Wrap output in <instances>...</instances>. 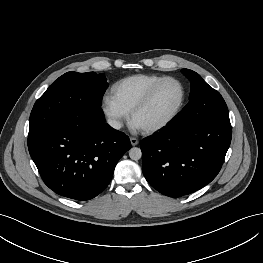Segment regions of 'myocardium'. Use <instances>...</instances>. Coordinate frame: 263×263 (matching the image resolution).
<instances>
[{
  "mask_svg": "<svg viewBox=\"0 0 263 263\" xmlns=\"http://www.w3.org/2000/svg\"><path fill=\"white\" fill-rule=\"evenodd\" d=\"M166 81H175L177 82L181 89H182V97H181V101L178 105V107L176 108V110L166 119H164L163 121L156 123L154 125H151L149 127H145V128H140L141 131L145 134H153L156 133L162 129H164L165 127H167L168 125H170L182 112L185 104H186V100H187V88L185 86V84L177 77L174 76H166L163 77L162 79H160L158 82H156L147 92L146 94L142 97V99L132 108V110L130 111V117L131 120H134V117L141 111L143 110L145 107H147V105L150 103V101L152 100L154 94L156 93V91L158 90V88L165 83Z\"/></svg>",
  "mask_w": 263,
  "mask_h": 263,
  "instance_id": "f54148a6",
  "label": "myocardium"
}]
</instances>
